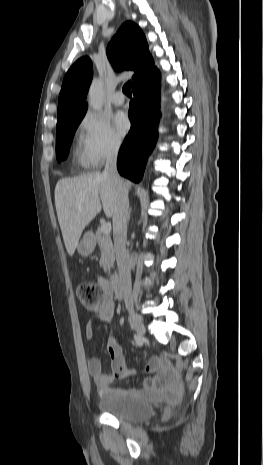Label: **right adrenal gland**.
Here are the masks:
<instances>
[{"instance_id": "obj_1", "label": "right adrenal gland", "mask_w": 263, "mask_h": 465, "mask_svg": "<svg viewBox=\"0 0 263 465\" xmlns=\"http://www.w3.org/2000/svg\"><path fill=\"white\" fill-rule=\"evenodd\" d=\"M130 213H131V209L129 210L128 220L130 219Z\"/></svg>"}]
</instances>
